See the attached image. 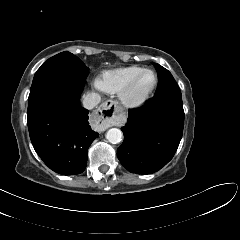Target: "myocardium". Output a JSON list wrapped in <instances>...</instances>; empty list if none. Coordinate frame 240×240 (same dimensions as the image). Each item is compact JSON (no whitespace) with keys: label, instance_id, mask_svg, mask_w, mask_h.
I'll return each mask as SVG.
<instances>
[{"label":"myocardium","instance_id":"obj_1","mask_svg":"<svg viewBox=\"0 0 240 240\" xmlns=\"http://www.w3.org/2000/svg\"><path fill=\"white\" fill-rule=\"evenodd\" d=\"M146 72H150L153 74L154 76L153 86L141 97H138V98L132 97L131 92L136 82ZM157 85H158L157 73L152 69H143L120 91L119 93L120 100L128 108H140L149 101Z\"/></svg>","mask_w":240,"mask_h":240}]
</instances>
